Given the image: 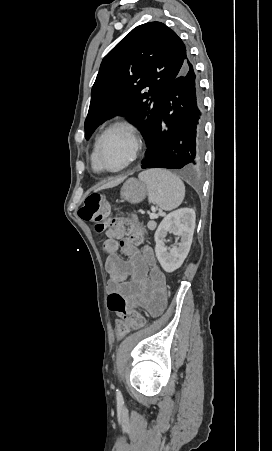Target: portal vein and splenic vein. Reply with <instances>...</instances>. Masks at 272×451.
Here are the masks:
<instances>
[{"label": "portal vein and splenic vein", "mask_w": 272, "mask_h": 451, "mask_svg": "<svg viewBox=\"0 0 272 451\" xmlns=\"http://www.w3.org/2000/svg\"><path fill=\"white\" fill-rule=\"evenodd\" d=\"M150 218L151 220H154V218H158V216H156V214H150Z\"/></svg>", "instance_id": "1"}]
</instances>
